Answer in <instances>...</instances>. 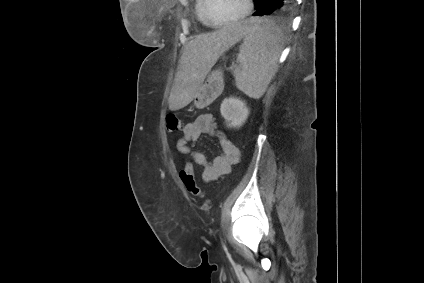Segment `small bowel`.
<instances>
[{"label": "small bowel", "instance_id": "c3829d8e", "mask_svg": "<svg viewBox=\"0 0 424 283\" xmlns=\"http://www.w3.org/2000/svg\"><path fill=\"white\" fill-rule=\"evenodd\" d=\"M203 134L219 135L220 137L222 153L212 161H209L204 153L191 145ZM176 147L179 153L190 155L195 164L203 167L201 176L205 183L229 173L231 166L240 160L239 148L226 136L216 132V123L211 113L201 114L194 121L187 123L183 128V136L178 139ZM187 163L193 166L192 162Z\"/></svg>", "mask_w": 424, "mask_h": 283}]
</instances>
